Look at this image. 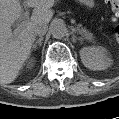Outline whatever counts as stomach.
<instances>
[{"mask_svg": "<svg viewBox=\"0 0 119 119\" xmlns=\"http://www.w3.org/2000/svg\"><path fill=\"white\" fill-rule=\"evenodd\" d=\"M82 5L93 8L95 6V0H78Z\"/></svg>", "mask_w": 119, "mask_h": 119, "instance_id": "obj_1", "label": "stomach"}]
</instances>
